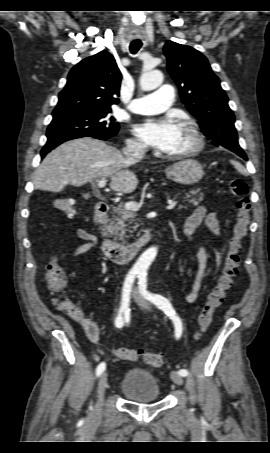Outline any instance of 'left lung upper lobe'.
<instances>
[{"label":"left lung upper lobe","mask_w":270,"mask_h":453,"mask_svg":"<svg viewBox=\"0 0 270 453\" xmlns=\"http://www.w3.org/2000/svg\"><path fill=\"white\" fill-rule=\"evenodd\" d=\"M167 69L187 109L199 121L202 132L215 146L240 148L235 117L228 98L212 72L207 58L190 46L169 41L164 46Z\"/></svg>","instance_id":"obj_1"}]
</instances>
